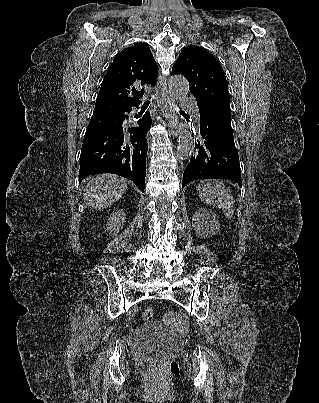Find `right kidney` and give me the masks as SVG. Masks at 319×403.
<instances>
[{
  "label": "right kidney",
  "instance_id": "1",
  "mask_svg": "<svg viewBox=\"0 0 319 403\" xmlns=\"http://www.w3.org/2000/svg\"><path fill=\"white\" fill-rule=\"evenodd\" d=\"M125 213L122 209L114 211L108 219L106 229L111 233H118L125 223Z\"/></svg>",
  "mask_w": 319,
  "mask_h": 403
}]
</instances>
